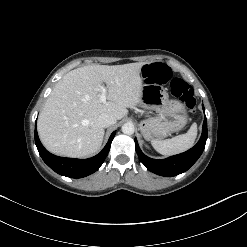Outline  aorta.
Instances as JSON below:
<instances>
[{"instance_id": "1", "label": "aorta", "mask_w": 247, "mask_h": 247, "mask_svg": "<svg viewBox=\"0 0 247 247\" xmlns=\"http://www.w3.org/2000/svg\"><path fill=\"white\" fill-rule=\"evenodd\" d=\"M135 131L134 129V125L132 123H125L123 126H122V132L124 134H127V135H131L133 134Z\"/></svg>"}]
</instances>
